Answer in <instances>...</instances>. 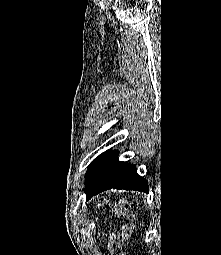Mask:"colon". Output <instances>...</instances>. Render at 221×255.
<instances>
[{
  "instance_id": "1",
  "label": "colon",
  "mask_w": 221,
  "mask_h": 255,
  "mask_svg": "<svg viewBox=\"0 0 221 255\" xmlns=\"http://www.w3.org/2000/svg\"><path fill=\"white\" fill-rule=\"evenodd\" d=\"M111 210L120 219L122 223L118 229L111 232L108 240V249L111 255H124L123 244L127 242L133 232L134 218L129 205L123 201H114L111 203Z\"/></svg>"
}]
</instances>
